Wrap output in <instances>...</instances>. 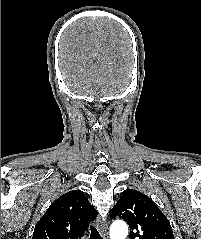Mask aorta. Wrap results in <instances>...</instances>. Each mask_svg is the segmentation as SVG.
Wrapping results in <instances>:
<instances>
[{"label": "aorta", "instance_id": "obj_1", "mask_svg": "<svg viewBox=\"0 0 201 239\" xmlns=\"http://www.w3.org/2000/svg\"><path fill=\"white\" fill-rule=\"evenodd\" d=\"M128 226L123 220H116L110 227V239H126Z\"/></svg>", "mask_w": 201, "mask_h": 239}]
</instances>
